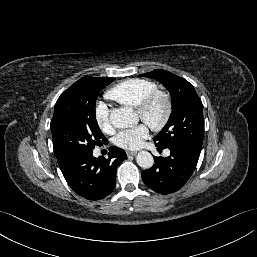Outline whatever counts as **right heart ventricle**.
<instances>
[{
    "label": "right heart ventricle",
    "instance_id": "obj_1",
    "mask_svg": "<svg viewBox=\"0 0 257 257\" xmlns=\"http://www.w3.org/2000/svg\"><path fill=\"white\" fill-rule=\"evenodd\" d=\"M157 85L150 80L133 78L124 80L106 92V97L122 105L136 108Z\"/></svg>",
    "mask_w": 257,
    "mask_h": 257
}]
</instances>
